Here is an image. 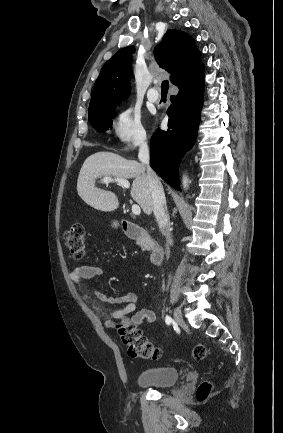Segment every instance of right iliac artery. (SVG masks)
Returning a JSON list of instances; mask_svg holds the SVG:
<instances>
[{"label":"right iliac artery","mask_w":283,"mask_h":433,"mask_svg":"<svg viewBox=\"0 0 283 433\" xmlns=\"http://www.w3.org/2000/svg\"><path fill=\"white\" fill-rule=\"evenodd\" d=\"M165 322L167 325H170L171 323H173V319L170 316H166Z\"/></svg>","instance_id":"obj_1"}]
</instances>
